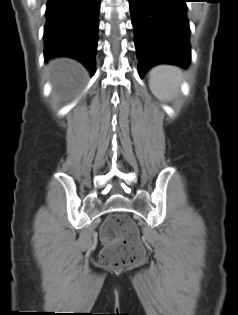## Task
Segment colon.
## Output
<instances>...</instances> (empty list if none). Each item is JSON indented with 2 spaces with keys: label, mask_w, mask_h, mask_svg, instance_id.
I'll return each instance as SVG.
<instances>
[{
  "label": "colon",
  "mask_w": 238,
  "mask_h": 315,
  "mask_svg": "<svg viewBox=\"0 0 238 315\" xmlns=\"http://www.w3.org/2000/svg\"><path fill=\"white\" fill-rule=\"evenodd\" d=\"M105 248L101 261L107 266L123 267L143 260L145 251L135 223L125 214L110 215L101 227Z\"/></svg>",
  "instance_id": "1"
}]
</instances>
